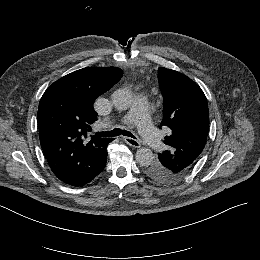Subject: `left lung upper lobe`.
<instances>
[{"label": "left lung upper lobe", "instance_id": "obj_1", "mask_svg": "<svg viewBox=\"0 0 260 260\" xmlns=\"http://www.w3.org/2000/svg\"><path fill=\"white\" fill-rule=\"evenodd\" d=\"M158 80L163 94L161 126L171 129L164 143L170 150L160 153L147 174L161 182H177L197 163L209 129V112L201 88L180 72L160 67Z\"/></svg>", "mask_w": 260, "mask_h": 260}]
</instances>
